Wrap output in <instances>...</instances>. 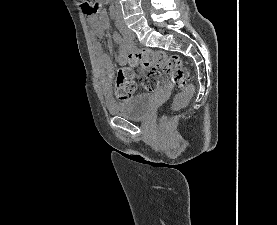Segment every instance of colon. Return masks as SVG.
Returning a JSON list of instances; mask_svg holds the SVG:
<instances>
[{"mask_svg":"<svg viewBox=\"0 0 277 225\" xmlns=\"http://www.w3.org/2000/svg\"><path fill=\"white\" fill-rule=\"evenodd\" d=\"M82 10L92 15L100 10L97 0H83ZM130 66H122L118 69L115 81V97L118 101L130 100L136 91L134 73L131 66L151 68L146 75L143 88L146 91L154 92L159 90L164 82L165 75H170L173 83L179 88L175 96L171 110L183 109L193 94V85L189 83V73L184 67L182 59L178 55H168L161 51L142 49L128 56Z\"/></svg>","mask_w":277,"mask_h":225,"instance_id":"obj_1","label":"colon"}]
</instances>
